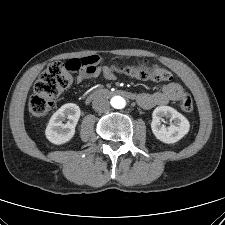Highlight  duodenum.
<instances>
[{
    "label": "duodenum",
    "instance_id": "410a0bca",
    "mask_svg": "<svg viewBox=\"0 0 225 225\" xmlns=\"http://www.w3.org/2000/svg\"><path fill=\"white\" fill-rule=\"evenodd\" d=\"M112 95H121L127 98H135L136 96L133 93H130L125 90H107V89H98L91 93L87 99V102L90 103L95 99H99L105 96H112Z\"/></svg>",
    "mask_w": 225,
    "mask_h": 225
}]
</instances>
